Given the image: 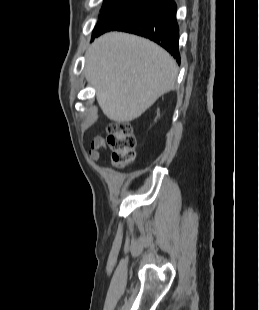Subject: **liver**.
<instances>
[{
	"label": "liver",
	"instance_id": "1",
	"mask_svg": "<svg viewBox=\"0 0 259 310\" xmlns=\"http://www.w3.org/2000/svg\"><path fill=\"white\" fill-rule=\"evenodd\" d=\"M85 75L103 113L115 122H130L174 88L178 67L157 44L111 32L88 48Z\"/></svg>",
	"mask_w": 259,
	"mask_h": 310
}]
</instances>
